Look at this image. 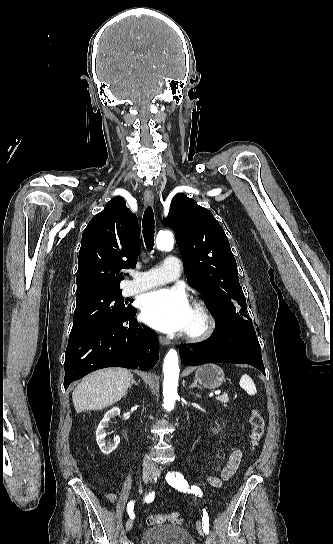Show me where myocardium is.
I'll return each mask as SVG.
<instances>
[{"instance_id": "f54148a6", "label": "myocardium", "mask_w": 333, "mask_h": 544, "mask_svg": "<svg viewBox=\"0 0 333 544\" xmlns=\"http://www.w3.org/2000/svg\"><path fill=\"white\" fill-rule=\"evenodd\" d=\"M192 308L199 315L200 324L195 329L186 330L184 336L190 341L205 340L209 338L216 330V317L207 303L203 300H195Z\"/></svg>"}]
</instances>
